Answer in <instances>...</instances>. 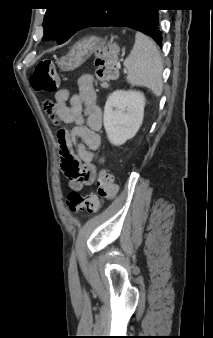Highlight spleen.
I'll list each match as a JSON object with an SVG mask.
<instances>
[{
	"instance_id": "spleen-1",
	"label": "spleen",
	"mask_w": 213,
	"mask_h": 338,
	"mask_svg": "<svg viewBox=\"0 0 213 338\" xmlns=\"http://www.w3.org/2000/svg\"><path fill=\"white\" fill-rule=\"evenodd\" d=\"M127 82L132 86L149 88L155 96L163 91V63L155 43L143 33L137 32L135 43L124 61Z\"/></svg>"
}]
</instances>
